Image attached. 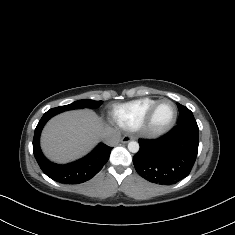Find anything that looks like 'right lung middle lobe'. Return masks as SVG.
<instances>
[{"label":"right lung middle lobe","mask_w":235,"mask_h":235,"mask_svg":"<svg viewBox=\"0 0 235 235\" xmlns=\"http://www.w3.org/2000/svg\"><path fill=\"white\" fill-rule=\"evenodd\" d=\"M103 101H94V100H89V99H84V100H78L73 102L72 104L65 105V106H59L57 108H53L52 111L55 113H61L67 110H72V109H79V108H97L99 107Z\"/></svg>","instance_id":"dd1d6c3e"}]
</instances>
